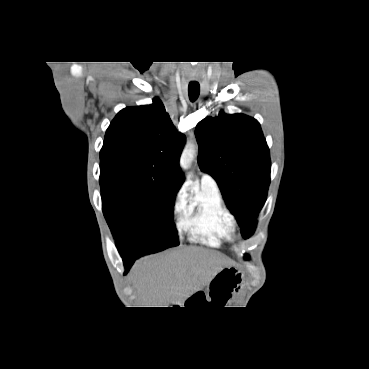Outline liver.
I'll use <instances>...</instances> for the list:
<instances>
[{
  "label": "liver",
  "instance_id": "obj_1",
  "mask_svg": "<svg viewBox=\"0 0 369 369\" xmlns=\"http://www.w3.org/2000/svg\"><path fill=\"white\" fill-rule=\"evenodd\" d=\"M223 263L214 252L187 247L139 260L132 268V278L142 305H149L144 307L181 305L191 293L208 285Z\"/></svg>",
  "mask_w": 369,
  "mask_h": 369
}]
</instances>
